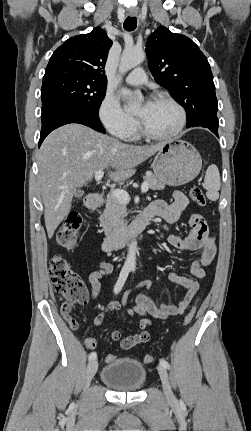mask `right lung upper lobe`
Segmentation results:
<instances>
[{"label":"right lung upper lobe","mask_w":251,"mask_h":431,"mask_svg":"<svg viewBox=\"0 0 251 431\" xmlns=\"http://www.w3.org/2000/svg\"><path fill=\"white\" fill-rule=\"evenodd\" d=\"M111 46L106 32L96 27L88 34L66 40L55 50L46 70L66 69L107 83L104 67Z\"/></svg>","instance_id":"obj_1"}]
</instances>
